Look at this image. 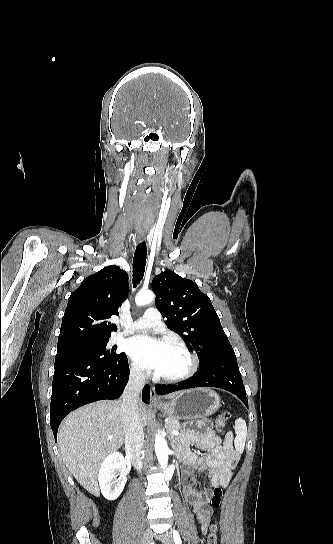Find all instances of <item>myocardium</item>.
<instances>
[{"label":"myocardium","mask_w":333,"mask_h":544,"mask_svg":"<svg viewBox=\"0 0 333 544\" xmlns=\"http://www.w3.org/2000/svg\"><path fill=\"white\" fill-rule=\"evenodd\" d=\"M170 346H173L182 351L189 359L188 368L181 374L173 376L156 375V378L165 383H180L190 379L199 369L198 356L181 340H171Z\"/></svg>","instance_id":"myocardium-1"}]
</instances>
